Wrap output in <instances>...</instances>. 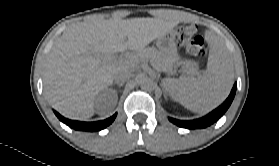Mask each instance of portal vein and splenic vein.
<instances>
[{"mask_svg": "<svg viewBox=\"0 0 279 166\" xmlns=\"http://www.w3.org/2000/svg\"><path fill=\"white\" fill-rule=\"evenodd\" d=\"M104 59H105L106 62H110V63H122V62H131L132 63V62H135V59L133 57H130V56L116 58L114 56L107 55ZM187 68H189V67L187 66ZM189 72L194 73V69L190 68Z\"/></svg>", "mask_w": 279, "mask_h": 166, "instance_id": "portal-vein-and-splenic-vein-1", "label": "portal vein and splenic vein"}]
</instances>
